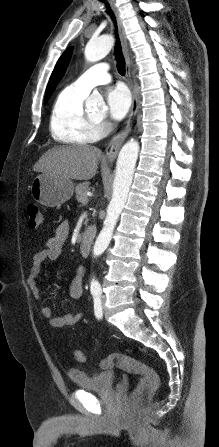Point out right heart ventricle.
I'll use <instances>...</instances> for the list:
<instances>
[{"label":"right heart ventricle","mask_w":219,"mask_h":447,"mask_svg":"<svg viewBox=\"0 0 219 447\" xmlns=\"http://www.w3.org/2000/svg\"><path fill=\"white\" fill-rule=\"evenodd\" d=\"M85 98L69 86L59 92L50 116V131L55 141L83 145L100 137V130L88 120L84 111Z\"/></svg>","instance_id":"e07e8e85"}]
</instances>
